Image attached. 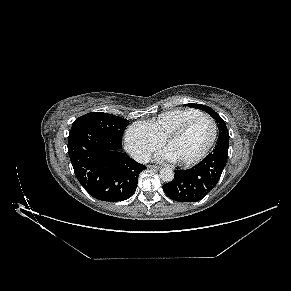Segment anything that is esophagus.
<instances>
[{
  "instance_id": "esophagus-1",
  "label": "esophagus",
  "mask_w": 291,
  "mask_h": 291,
  "mask_svg": "<svg viewBox=\"0 0 291 291\" xmlns=\"http://www.w3.org/2000/svg\"><path fill=\"white\" fill-rule=\"evenodd\" d=\"M147 167L150 168V169H155V170H159L160 169V167L156 166V165H148Z\"/></svg>"
}]
</instances>
